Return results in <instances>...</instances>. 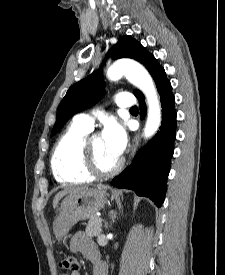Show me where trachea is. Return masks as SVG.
<instances>
[{
	"label": "trachea",
	"mask_w": 225,
	"mask_h": 275,
	"mask_svg": "<svg viewBox=\"0 0 225 275\" xmlns=\"http://www.w3.org/2000/svg\"><path fill=\"white\" fill-rule=\"evenodd\" d=\"M131 109H132V110H136V109H138V108H137L136 106H134V107H132Z\"/></svg>",
	"instance_id": "3493384b"
}]
</instances>
